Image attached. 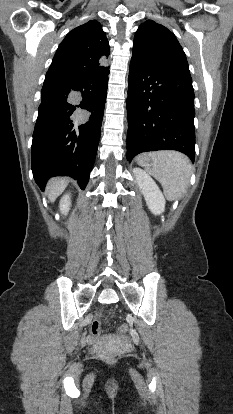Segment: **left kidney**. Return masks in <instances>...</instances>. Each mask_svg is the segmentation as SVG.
Masks as SVG:
<instances>
[{
	"instance_id": "obj_1",
	"label": "left kidney",
	"mask_w": 233,
	"mask_h": 414,
	"mask_svg": "<svg viewBox=\"0 0 233 414\" xmlns=\"http://www.w3.org/2000/svg\"><path fill=\"white\" fill-rule=\"evenodd\" d=\"M133 172L148 208L154 215H159L165 210V198L161 190L146 171L134 168Z\"/></svg>"
}]
</instances>
